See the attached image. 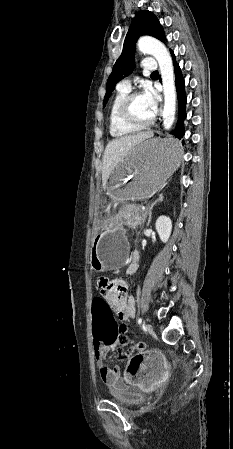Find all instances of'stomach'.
<instances>
[{
    "instance_id": "0dacf381",
    "label": "stomach",
    "mask_w": 233,
    "mask_h": 449,
    "mask_svg": "<svg viewBox=\"0 0 233 449\" xmlns=\"http://www.w3.org/2000/svg\"><path fill=\"white\" fill-rule=\"evenodd\" d=\"M182 148L174 139H146L137 144L111 172L107 194L114 201L141 200L152 197L181 162ZM107 219L106 213L100 214ZM102 232L93 241L91 268L96 272L120 269L129 245L121 224L97 223Z\"/></svg>"
}]
</instances>
